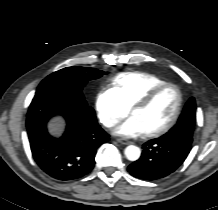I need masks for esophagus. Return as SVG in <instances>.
<instances>
[{"mask_svg":"<svg viewBox=\"0 0 218 210\" xmlns=\"http://www.w3.org/2000/svg\"><path fill=\"white\" fill-rule=\"evenodd\" d=\"M117 142H119V143H121L123 145H129L131 143L128 140H124V139H120V138L117 139Z\"/></svg>","mask_w":218,"mask_h":210,"instance_id":"34e87169","label":"esophagus"}]
</instances>
